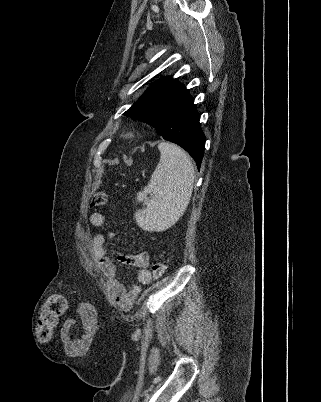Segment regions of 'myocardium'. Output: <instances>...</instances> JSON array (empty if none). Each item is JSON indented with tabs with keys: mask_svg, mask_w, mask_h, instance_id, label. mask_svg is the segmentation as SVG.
Returning a JSON list of instances; mask_svg holds the SVG:
<instances>
[{
	"mask_svg": "<svg viewBox=\"0 0 321 402\" xmlns=\"http://www.w3.org/2000/svg\"><path fill=\"white\" fill-rule=\"evenodd\" d=\"M134 131L133 130H127L124 133V138L126 139H131L134 136Z\"/></svg>",
	"mask_w": 321,
	"mask_h": 402,
	"instance_id": "1",
	"label": "myocardium"
}]
</instances>
